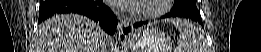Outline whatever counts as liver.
Here are the masks:
<instances>
[{"label":"liver","mask_w":261,"mask_h":52,"mask_svg":"<svg viewBox=\"0 0 261 52\" xmlns=\"http://www.w3.org/2000/svg\"><path fill=\"white\" fill-rule=\"evenodd\" d=\"M105 37L86 17L55 15L38 27L34 52H104Z\"/></svg>","instance_id":"obj_1"}]
</instances>
